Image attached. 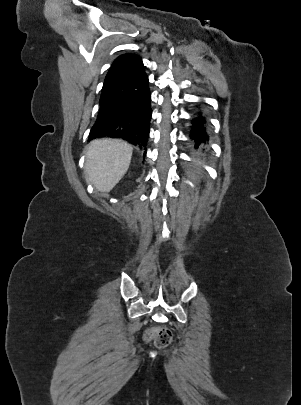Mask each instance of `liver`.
Returning a JSON list of instances; mask_svg holds the SVG:
<instances>
[{
	"label": "liver",
	"mask_w": 301,
	"mask_h": 405,
	"mask_svg": "<svg viewBox=\"0 0 301 405\" xmlns=\"http://www.w3.org/2000/svg\"><path fill=\"white\" fill-rule=\"evenodd\" d=\"M133 147L117 139L92 141L86 152L88 182L100 192H109L126 174Z\"/></svg>",
	"instance_id": "obj_1"
}]
</instances>
